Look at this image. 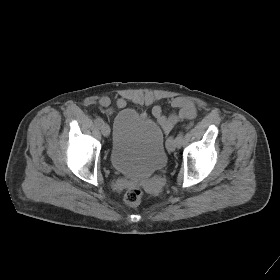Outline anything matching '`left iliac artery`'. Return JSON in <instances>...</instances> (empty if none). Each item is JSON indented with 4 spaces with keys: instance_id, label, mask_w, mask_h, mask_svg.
<instances>
[{
    "instance_id": "44dca946",
    "label": "left iliac artery",
    "mask_w": 280,
    "mask_h": 280,
    "mask_svg": "<svg viewBox=\"0 0 280 280\" xmlns=\"http://www.w3.org/2000/svg\"><path fill=\"white\" fill-rule=\"evenodd\" d=\"M183 135H184V134H183L182 131L178 133V135H177V137H176L177 142H178V145L181 144L182 139H183Z\"/></svg>"
}]
</instances>
